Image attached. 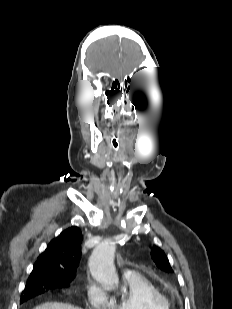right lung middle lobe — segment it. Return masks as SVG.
Masks as SVG:
<instances>
[{
  "instance_id": "dd1d6c3e",
  "label": "right lung middle lobe",
  "mask_w": 232,
  "mask_h": 309,
  "mask_svg": "<svg viewBox=\"0 0 232 309\" xmlns=\"http://www.w3.org/2000/svg\"><path fill=\"white\" fill-rule=\"evenodd\" d=\"M71 280L66 277L37 274L29 277L21 296V303L58 286H67Z\"/></svg>"
}]
</instances>
